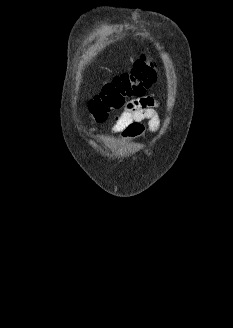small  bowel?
<instances>
[{"mask_svg":"<svg viewBox=\"0 0 233 328\" xmlns=\"http://www.w3.org/2000/svg\"><path fill=\"white\" fill-rule=\"evenodd\" d=\"M157 102L151 96H143L129 101L116 117L111 131L120 139L135 141L143 136L146 129L156 132L160 126ZM144 122H147V127Z\"/></svg>","mask_w":233,"mask_h":328,"instance_id":"small-bowel-1","label":"small bowel"}]
</instances>
